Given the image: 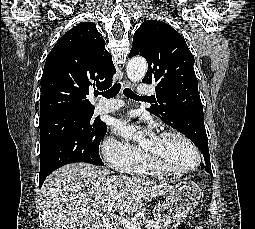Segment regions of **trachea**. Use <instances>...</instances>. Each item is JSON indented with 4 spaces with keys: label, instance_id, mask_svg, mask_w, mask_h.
I'll return each mask as SVG.
<instances>
[{
    "label": "trachea",
    "instance_id": "trachea-1",
    "mask_svg": "<svg viewBox=\"0 0 255 229\" xmlns=\"http://www.w3.org/2000/svg\"><path fill=\"white\" fill-rule=\"evenodd\" d=\"M120 88H121V84L117 83L113 85V87H111L110 89L106 90L105 92L95 93V96L97 97L98 95H102L103 97L110 99V98H113L119 92ZM123 92L125 96L130 99L149 98V97L138 96L129 88H125Z\"/></svg>",
    "mask_w": 255,
    "mask_h": 229
}]
</instances>
